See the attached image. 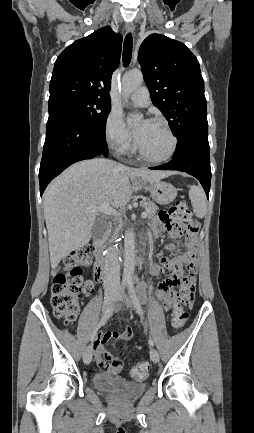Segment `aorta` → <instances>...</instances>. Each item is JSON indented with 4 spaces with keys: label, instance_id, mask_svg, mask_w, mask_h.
<instances>
[{
    "label": "aorta",
    "instance_id": "aorta-1",
    "mask_svg": "<svg viewBox=\"0 0 254 433\" xmlns=\"http://www.w3.org/2000/svg\"><path fill=\"white\" fill-rule=\"evenodd\" d=\"M143 82L142 72L139 70H132L124 74L122 79V86L125 96L130 95L136 90ZM141 115H130L128 117V123H134L138 121ZM135 268V244H134V233L130 230L125 233L124 240V270H123V282H130L134 276Z\"/></svg>",
    "mask_w": 254,
    "mask_h": 433
}]
</instances>
